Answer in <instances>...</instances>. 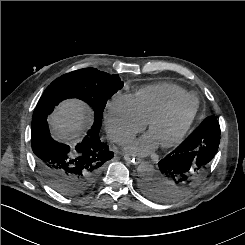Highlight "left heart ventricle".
Instances as JSON below:
<instances>
[{
	"instance_id": "obj_1",
	"label": "left heart ventricle",
	"mask_w": 245,
	"mask_h": 245,
	"mask_svg": "<svg viewBox=\"0 0 245 245\" xmlns=\"http://www.w3.org/2000/svg\"><path fill=\"white\" fill-rule=\"evenodd\" d=\"M194 108L195 101L189 100L178 107L169 117L157 123L150 131V134L158 144L170 141L179 133L185 123L189 120Z\"/></svg>"
}]
</instances>
